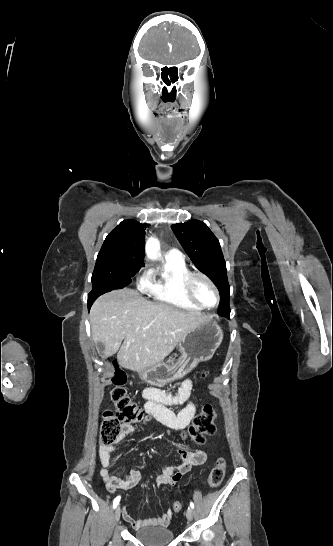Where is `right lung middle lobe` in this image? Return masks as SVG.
<instances>
[{
    "mask_svg": "<svg viewBox=\"0 0 333 546\" xmlns=\"http://www.w3.org/2000/svg\"><path fill=\"white\" fill-rule=\"evenodd\" d=\"M140 270L130 267L129 262L115 255H98L92 274V290L88 298L95 300L113 289L124 288Z\"/></svg>",
    "mask_w": 333,
    "mask_h": 546,
    "instance_id": "right-lung-middle-lobe-1",
    "label": "right lung middle lobe"
}]
</instances>
